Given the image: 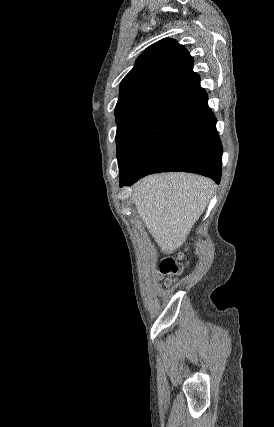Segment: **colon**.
Wrapping results in <instances>:
<instances>
[{
    "mask_svg": "<svg viewBox=\"0 0 274 427\" xmlns=\"http://www.w3.org/2000/svg\"><path fill=\"white\" fill-rule=\"evenodd\" d=\"M159 271L163 276L168 277L170 275L177 274L178 271H180V266L177 264L174 258L165 257L161 261Z\"/></svg>",
    "mask_w": 274,
    "mask_h": 427,
    "instance_id": "obj_1",
    "label": "colon"
}]
</instances>
